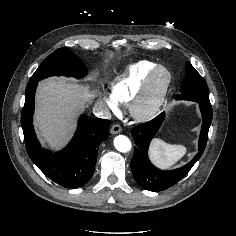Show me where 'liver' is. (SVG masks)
Wrapping results in <instances>:
<instances>
[{
  "label": "liver",
  "instance_id": "liver-1",
  "mask_svg": "<svg viewBox=\"0 0 236 236\" xmlns=\"http://www.w3.org/2000/svg\"><path fill=\"white\" fill-rule=\"evenodd\" d=\"M94 97V90L73 79L52 77L39 82L34 119L40 140L61 149L73 133L78 113Z\"/></svg>",
  "mask_w": 236,
  "mask_h": 236
}]
</instances>
